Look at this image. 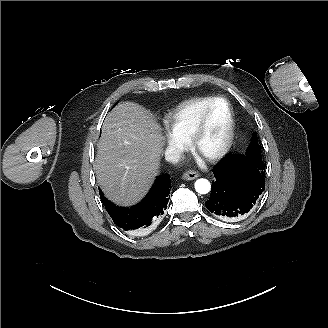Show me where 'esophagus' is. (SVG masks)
<instances>
[{
    "label": "esophagus",
    "mask_w": 328,
    "mask_h": 328,
    "mask_svg": "<svg viewBox=\"0 0 328 328\" xmlns=\"http://www.w3.org/2000/svg\"><path fill=\"white\" fill-rule=\"evenodd\" d=\"M198 176H199V174L196 171L188 170L183 173L181 178L185 181H190V180L197 178Z\"/></svg>",
    "instance_id": "esophagus-1"
}]
</instances>
